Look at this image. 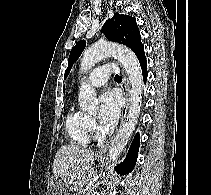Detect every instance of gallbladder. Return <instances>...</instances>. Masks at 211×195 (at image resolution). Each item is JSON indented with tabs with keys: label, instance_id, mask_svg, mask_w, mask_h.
I'll return each mask as SVG.
<instances>
[{
	"label": "gallbladder",
	"instance_id": "1",
	"mask_svg": "<svg viewBox=\"0 0 211 195\" xmlns=\"http://www.w3.org/2000/svg\"><path fill=\"white\" fill-rule=\"evenodd\" d=\"M54 184H56V179H54ZM54 184L52 186V191L56 192L57 191V187Z\"/></svg>",
	"mask_w": 211,
	"mask_h": 195
}]
</instances>
